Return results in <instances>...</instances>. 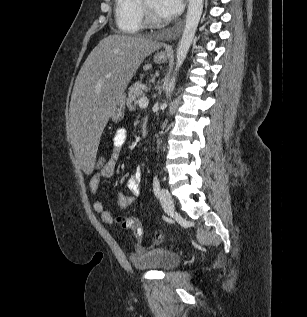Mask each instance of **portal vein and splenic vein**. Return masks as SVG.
I'll use <instances>...</instances> for the list:
<instances>
[{"label": "portal vein and splenic vein", "instance_id": "obj_1", "mask_svg": "<svg viewBox=\"0 0 307 317\" xmlns=\"http://www.w3.org/2000/svg\"><path fill=\"white\" fill-rule=\"evenodd\" d=\"M149 100L147 97H142L139 101H138V105L140 108H146L148 106Z\"/></svg>", "mask_w": 307, "mask_h": 317}]
</instances>
